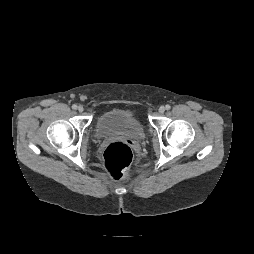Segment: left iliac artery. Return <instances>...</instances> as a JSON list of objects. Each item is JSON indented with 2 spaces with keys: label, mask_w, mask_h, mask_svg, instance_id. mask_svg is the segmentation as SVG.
Returning a JSON list of instances; mask_svg holds the SVG:
<instances>
[{
  "label": "left iliac artery",
  "mask_w": 254,
  "mask_h": 254,
  "mask_svg": "<svg viewBox=\"0 0 254 254\" xmlns=\"http://www.w3.org/2000/svg\"><path fill=\"white\" fill-rule=\"evenodd\" d=\"M165 108H166V110H169L171 108V106L170 105H166Z\"/></svg>",
  "instance_id": "44dca946"
}]
</instances>
